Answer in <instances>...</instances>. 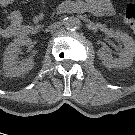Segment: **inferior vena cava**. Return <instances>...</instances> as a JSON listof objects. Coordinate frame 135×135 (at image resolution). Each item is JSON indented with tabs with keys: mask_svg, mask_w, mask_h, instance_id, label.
Instances as JSON below:
<instances>
[{
	"mask_svg": "<svg viewBox=\"0 0 135 135\" xmlns=\"http://www.w3.org/2000/svg\"><path fill=\"white\" fill-rule=\"evenodd\" d=\"M55 27V25L54 24H52L51 26H49L48 28H46V32H49V31H51L53 28Z\"/></svg>",
	"mask_w": 135,
	"mask_h": 135,
	"instance_id": "1",
	"label": "inferior vena cava"
}]
</instances>
